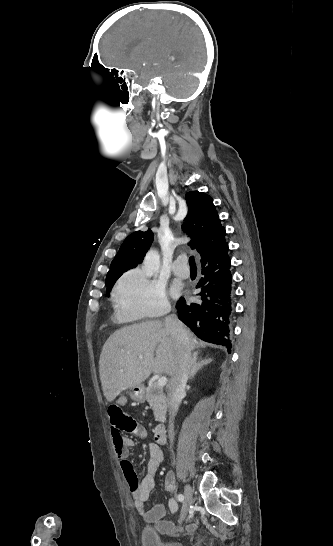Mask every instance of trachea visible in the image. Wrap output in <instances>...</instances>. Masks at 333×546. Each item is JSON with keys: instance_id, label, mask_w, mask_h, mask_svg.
Here are the masks:
<instances>
[{"instance_id": "1", "label": "trachea", "mask_w": 333, "mask_h": 546, "mask_svg": "<svg viewBox=\"0 0 333 546\" xmlns=\"http://www.w3.org/2000/svg\"><path fill=\"white\" fill-rule=\"evenodd\" d=\"M189 264H190V268H196V263H195L194 256H191L189 258Z\"/></svg>"}]
</instances>
